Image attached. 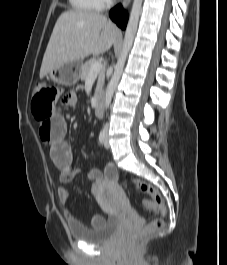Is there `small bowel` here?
I'll list each match as a JSON object with an SVG mask.
<instances>
[{
    "label": "small bowel",
    "instance_id": "c3829d8e",
    "mask_svg": "<svg viewBox=\"0 0 227 265\" xmlns=\"http://www.w3.org/2000/svg\"><path fill=\"white\" fill-rule=\"evenodd\" d=\"M76 102V95L69 94L63 103L74 105ZM65 107V104H62ZM67 123L64 117L56 113L50 117L49 120H42V125L39 128V135L41 140L49 146V155L53 163L60 169L59 186L57 194L59 200L67 204L71 200V195L66 189L65 185L71 182L75 176L80 172L73 167V152L70 144L66 140ZM87 177L93 181L92 193L96 195L101 186L106 182H112L117 178V171L112 165H108L104 172L100 169L93 168L87 171ZM65 216L69 222L76 223L74 216L67 211ZM103 222V218L95 215L91 219L93 226L99 225Z\"/></svg>",
    "mask_w": 227,
    "mask_h": 265
}]
</instances>
